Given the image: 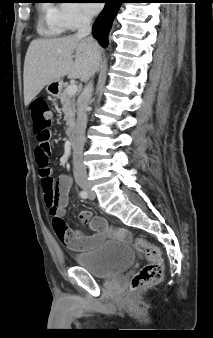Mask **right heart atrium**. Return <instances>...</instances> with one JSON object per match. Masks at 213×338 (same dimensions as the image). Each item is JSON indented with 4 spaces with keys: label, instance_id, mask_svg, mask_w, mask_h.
Masks as SVG:
<instances>
[{
    "label": "right heart atrium",
    "instance_id": "obj_1",
    "mask_svg": "<svg viewBox=\"0 0 213 338\" xmlns=\"http://www.w3.org/2000/svg\"><path fill=\"white\" fill-rule=\"evenodd\" d=\"M57 9L60 22L68 30H75L90 22V16L80 3H61Z\"/></svg>",
    "mask_w": 213,
    "mask_h": 338
}]
</instances>
